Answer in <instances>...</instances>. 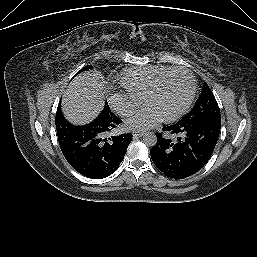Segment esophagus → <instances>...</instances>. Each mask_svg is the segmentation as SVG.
Returning <instances> with one entry per match:
<instances>
[{
	"instance_id": "34e87169",
	"label": "esophagus",
	"mask_w": 257,
	"mask_h": 257,
	"mask_svg": "<svg viewBox=\"0 0 257 257\" xmlns=\"http://www.w3.org/2000/svg\"><path fill=\"white\" fill-rule=\"evenodd\" d=\"M143 135V131L140 130H134L133 131V137L137 138V137H141Z\"/></svg>"
}]
</instances>
